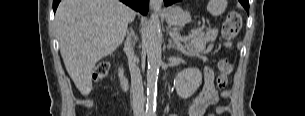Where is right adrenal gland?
Masks as SVG:
<instances>
[{"label":"right adrenal gland","mask_w":305,"mask_h":116,"mask_svg":"<svg viewBox=\"0 0 305 116\" xmlns=\"http://www.w3.org/2000/svg\"><path fill=\"white\" fill-rule=\"evenodd\" d=\"M130 35L133 36V31H132V29H130Z\"/></svg>","instance_id":"1"}]
</instances>
